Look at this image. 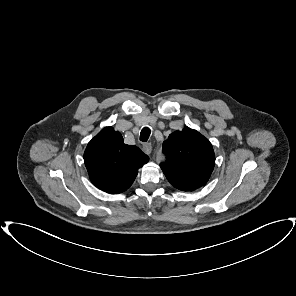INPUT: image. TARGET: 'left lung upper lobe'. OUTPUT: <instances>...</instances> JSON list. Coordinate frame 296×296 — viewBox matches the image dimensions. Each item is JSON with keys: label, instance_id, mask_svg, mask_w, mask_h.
Here are the masks:
<instances>
[{"label": "left lung upper lobe", "instance_id": "5c2ea615", "mask_svg": "<svg viewBox=\"0 0 296 296\" xmlns=\"http://www.w3.org/2000/svg\"><path fill=\"white\" fill-rule=\"evenodd\" d=\"M166 162L160 164L168 181L182 191H193L209 180L215 164L210 141L196 130L185 127L163 142Z\"/></svg>", "mask_w": 296, "mask_h": 296}]
</instances>
